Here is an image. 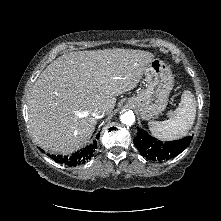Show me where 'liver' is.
I'll use <instances>...</instances> for the list:
<instances>
[{"mask_svg":"<svg viewBox=\"0 0 221 221\" xmlns=\"http://www.w3.org/2000/svg\"><path fill=\"white\" fill-rule=\"evenodd\" d=\"M154 55L105 49L66 53L40 74L28 99V126L50 153L71 154L85 146L96 126L92 111L110 114L116 96L134 89Z\"/></svg>","mask_w":221,"mask_h":221,"instance_id":"1","label":"liver"}]
</instances>
